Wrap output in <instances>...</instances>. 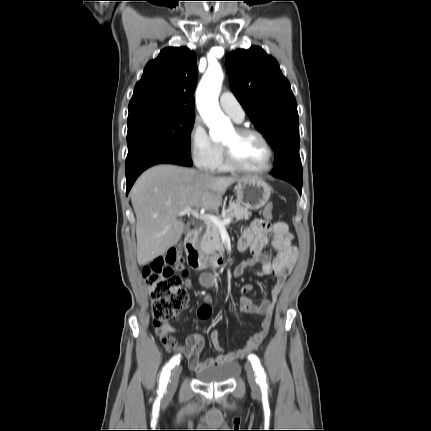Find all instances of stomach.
Masks as SVG:
<instances>
[{
	"label": "stomach",
	"instance_id": "obj_1",
	"mask_svg": "<svg viewBox=\"0 0 431 431\" xmlns=\"http://www.w3.org/2000/svg\"><path fill=\"white\" fill-rule=\"evenodd\" d=\"M237 201L245 208L258 210L269 200L270 186L259 177H244L235 186Z\"/></svg>",
	"mask_w": 431,
	"mask_h": 431
}]
</instances>
